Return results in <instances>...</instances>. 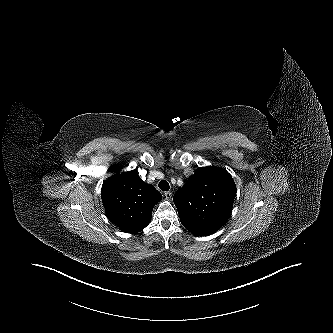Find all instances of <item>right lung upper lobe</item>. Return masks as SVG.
Segmentation results:
<instances>
[{"label": "right lung upper lobe", "instance_id": "cb5924a9", "mask_svg": "<svg viewBox=\"0 0 333 333\" xmlns=\"http://www.w3.org/2000/svg\"><path fill=\"white\" fill-rule=\"evenodd\" d=\"M101 197L107 217L123 232L137 233L150 223L153 207L162 195L132 170L108 178Z\"/></svg>", "mask_w": 333, "mask_h": 333}]
</instances>
